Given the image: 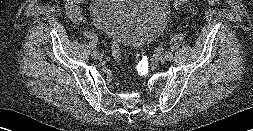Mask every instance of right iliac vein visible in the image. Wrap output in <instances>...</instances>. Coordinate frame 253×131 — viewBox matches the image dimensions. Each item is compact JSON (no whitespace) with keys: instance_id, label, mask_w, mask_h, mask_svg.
I'll return each instance as SVG.
<instances>
[{"instance_id":"obj_1","label":"right iliac vein","mask_w":253,"mask_h":131,"mask_svg":"<svg viewBox=\"0 0 253 131\" xmlns=\"http://www.w3.org/2000/svg\"><path fill=\"white\" fill-rule=\"evenodd\" d=\"M92 56L95 57V58H100L101 57V55L99 54V52H97L96 54L92 53Z\"/></svg>"}]
</instances>
